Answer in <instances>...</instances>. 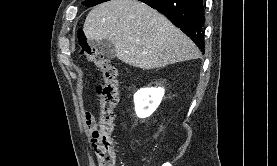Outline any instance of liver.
I'll list each match as a JSON object with an SVG mask.
<instances>
[{
  "label": "liver",
  "instance_id": "obj_1",
  "mask_svg": "<svg viewBox=\"0 0 277 166\" xmlns=\"http://www.w3.org/2000/svg\"><path fill=\"white\" fill-rule=\"evenodd\" d=\"M88 40L107 39L122 62L141 69L164 67L200 57V52L166 17L137 0H110L87 15Z\"/></svg>",
  "mask_w": 277,
  "mask_h": 166
}]
</instances>
